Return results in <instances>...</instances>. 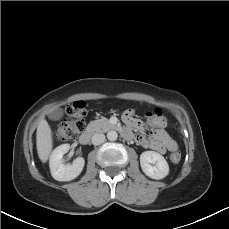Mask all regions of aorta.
Segmentation results:
<instances>
[{
	"mask_svg": "<svg viewBox=\"0 0 229 229\" xmlns=\"http://www.w3.org/2000/svg\"><path fill=\"white\" fill-rule=\"evenodd\" d=\"M107 138H108V140H110V141H115V140H117V138H118V133L116 132V131H109L108 133H107Z\"/></svg>",
	"mask_w": 229,
	"mask_h": 229,
	"instance_id": "aorta-1",
	"label": "aorta"
}]
</instances>
